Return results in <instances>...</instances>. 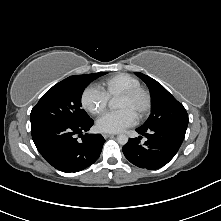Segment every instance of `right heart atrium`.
<instances>
[{
  "label": "right heart atrium",
  "mask_w": 221,
  "mask_h": 221,
  "mask_svg": "<svg viewBox=\"0 0 221 221\" xmlns=\"http://www.w3.org/2000/svg\"><path fill=\"white\" fill-rule=\"evenodd\" d=\"M108 97L97 87L87 86L81 94L80 102L82 107L93 115L103 113L108 105Z\"/></svg>",
  "instance_id": "right-heart-atrium-1"
}]
</instances>
